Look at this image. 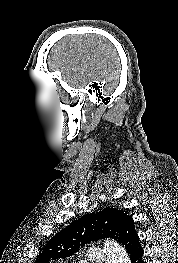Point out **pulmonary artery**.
Instances as JSON below:
<instances>
[{"label": "pulmonary artery", "mask_w": 178, "mask_h": 263, "mask_svg": "<svg viewBox=\"0 0 178 263\" xmlns=\"http://www.w3.org/2000/svg\"><path fill=\"white\" fill-rule=\"evenodd\" d=\"M87 259L90 262L99 263L105 260V253L102 248H91L87 252Z\"/></svg>", "instance_id": "e3ab8cb5"}]
</instances>
